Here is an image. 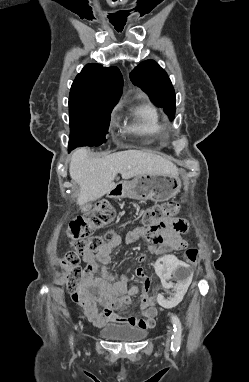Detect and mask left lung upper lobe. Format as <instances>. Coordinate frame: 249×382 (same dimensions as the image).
I'll return each instance as SVG.
<instances>
[{
	"label": "left lung upper lobe",
	"instance_id": "left-lung-upper-lobe-1",
	"mask_svg": "<svg viewBox=\"0 0 249 382\" xmlns=\"http://www.w3.org/2000/svg\"><path fill=\"white\" fill-rule=\"evenodd\" d=\"M132 83L140 87L172 120L175 116V92L166 72L153 60L140 63L130 73Z\"/></svg>",
	"mask_w": 249,
	"mask_h": 382
}]
</instances>
